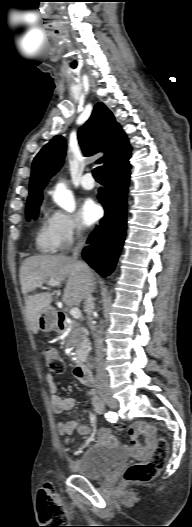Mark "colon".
Returning a JSON list of instances; mask_svg holds the SVG:
<instances>
[{
    "label": "colon",
    "mask_w": 192,
    "mask_h": 527,
    "mask_svg": "<svg viewBox=\"0 0 192 527\" xmlns=\"http://www.w3.org/2000/svg\"><path fill=\"white\" fill-rule=\"evenodd\" d=\"M43 356L47 369L56 374H61L65 369L63 359L56 347L47 346L43 349ZM168 443L165 439L159 438L155 451L150 460L145 463H133L129 465L124 471V479L130 482H147L153 480L166 464L168 456ZM52 512H59L64 514L62 507L56 506L53 499V487L51 484H46L39 495L38 506L41 513L50 506Z\"/></svg>",
    "instance_id": "obj_1"
}]
</instances>
